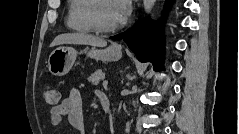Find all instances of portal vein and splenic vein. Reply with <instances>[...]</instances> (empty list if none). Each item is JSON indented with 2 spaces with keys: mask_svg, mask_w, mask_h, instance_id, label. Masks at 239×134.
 I'll list each match as a JSON object with an SVG mask.
<instances>
[{
  "mask_svg": "<svg viewBox=\"0 0 239 134\" xmlns=\"http://www.w3.org/2000/svg\"><path fill=\"white\" fill-rule=\"evenodd\" d=\"M107 84H108V80H104L103 85H107Z\"/></svg>",
  "mask_w": 239,
  "mask_h": 134,
  "instance_id": "1",
  "label": "portal vein and splenic vein"
}]
</instances>
